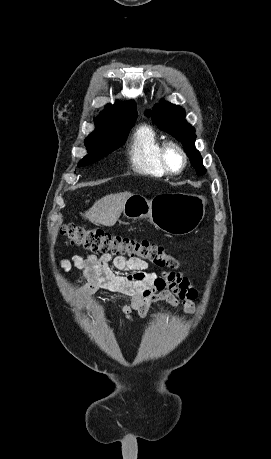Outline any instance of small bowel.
<instances>
[{
    "label": "small bowel",
    "instance_id": "1",
    "mask_svg": "<svg viewBox=\"0 0 271 459\" xmlns=\"http://www.w3.org/2000/svg\"><path fill=\"white\" fill-rule=\"evenodd\" d=\"M119 271L115 272L110 263ZM74 266L87 279V284L79 290L80 294L104 288L112 292L125 294L131 298L129 304L122 307L127 320L134 314L146 315L148 307L157 301H164L172 307L182 305L186 313L194 309V300L198 294L188 277L175 273L147 272L146 261L123 255L112 256L109 253L96 255H75L71 261H63L62 267L69 271Z\"/></svg>",
    "mask_w": 271,
    "mask_h": 459
}]
</instances>
